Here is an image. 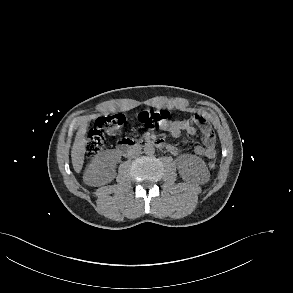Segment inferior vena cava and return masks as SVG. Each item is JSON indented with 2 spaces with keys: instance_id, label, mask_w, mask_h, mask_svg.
Returning a JSON list of instances; mask_svg holds the SVG:
<instances>
[{
  "instance_id": "inferior-vena-cava-1",
  "label": "inferior vena cava",
  "mask_w": 293,
  "mask_h": 293,
  "mask_svg": "<svg viewBox=\"0 0 293 293\" xmlns=\"http://www.w3.org/2000/svg\"><path fill=\"white\" fill-rule=\"evenodd\" d=\"M141 153V148H139L138 146H133L128 152L127 156L130 158H134L139 156Z\"/></svg>"
}]
</instances>
